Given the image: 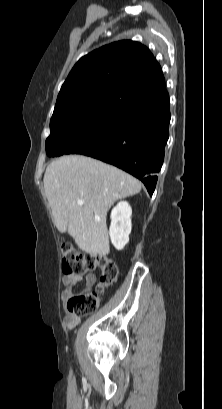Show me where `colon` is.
I'll use <instances>...</instances> for the list:
<instances>
[{"label": "colon", "mask_w": 222, "mask_h": 409, "mask_svg": "<svg viewBox=\"0 0 222 409\" xmlns=\"http://www.w3.org/2000/svg\"><path fill=\"white\" fill-rule=\"evenodd\" d=\"M61 256L62 271L65 274H84L101 269L100 280L94 290L82 291L67 301L69 314L77 317L88 315L98 308L102 293L117 281V265L112 259L102 255L81 254L66 241L61 243Z\"/></svg>", "instance_id": "5ec220e1"}]
</instances>
